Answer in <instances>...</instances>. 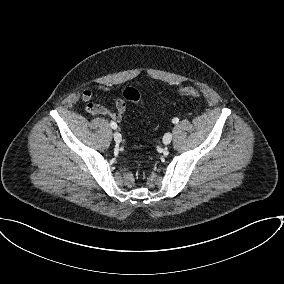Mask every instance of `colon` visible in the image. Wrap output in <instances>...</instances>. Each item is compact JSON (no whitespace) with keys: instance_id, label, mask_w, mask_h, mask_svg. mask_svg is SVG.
Instances as JSON below:
<instances>
[{"instance_id":"1","label":"colon","mask_w":284,"mask_h":284,"mask_svg":"<svg viewBox=\"0 0 284 284\" xmlns=\"http://www.w3.org/2000/svg\"><path fill=\"white\" fill-rule=\"evenodd\" d=\"M178 93H180L181 95L191 96L194 98H198L200 96V93L192 87L181 88L180 90H178ZM122 95L124 99L131 102H137L139 100V93L134 88H126L123 91Z\"/></svg>"}]
</instances>
